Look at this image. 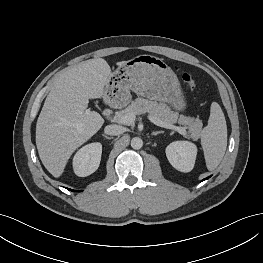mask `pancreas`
<instances>
[{
    "label": "pancreas",
    "instance_id": "obj_1",
    "mask_svg": "<svg viewBox=\"0 0 263 263\" xmlns=\"http://www.w3.org/2000/svg\"><path fill=\"white\" fill-rule=\"evenodd\" d=\"M130 113L134 115L148 113L150 116L166 123L173 124L178 122L184 125L185 129H188V137L193 140H198L203 126L200 119H194L183 115L179 117L178 113L172 111L166 104L157 103L140 97L132 101L124 110L119 111L115 116V120L121 123L120 118Z\"/></svg>",
    "mask_w": 263,
    "mask_h": 263
}]
</instances>
